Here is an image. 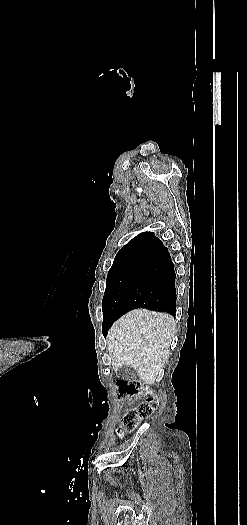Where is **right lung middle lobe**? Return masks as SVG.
<instances>
[{
    "instance_id": "dd1d6c3e",
    "label": "right lung middle lobe",
    "mask_w": 247,
    "mask_h": 525,
    "mask_svg": "<svg viewBox=\"0 0 247 525\" xmlns=\"http://www.w3.org/2000/svg\"><path fill=\"white\" fill-rule=\"evenodd\" d=\"M156 256L146 259L140 265L121 271H109L106 280V291L102 300L103 325L111 327L119 318V308L133 289L137 281L143 276L153 263Z\"/></svg>"
}]
</instances>
